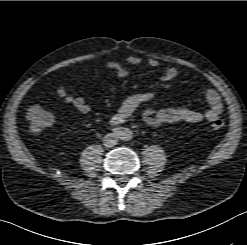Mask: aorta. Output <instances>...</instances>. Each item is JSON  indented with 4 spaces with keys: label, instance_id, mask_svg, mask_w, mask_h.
I'll use <instances>...</instances> for the list:
<instances>
[{
    "label": "aorta",
    "instance_id": "1",
    "mask_svg": "<svg viewBox=\"0 0 247 245\" xmlns=\"http://www.w3.org/2000/svg\"><path fill=\"white\" fill-rule=\"evenodd\" d=\"M121 137L125 140H129L133 137L132 131L129 129H125L122 134Z\"/></svg>",
    "mask_w": 247,
    "mask_h": 245
}]
</instances>
